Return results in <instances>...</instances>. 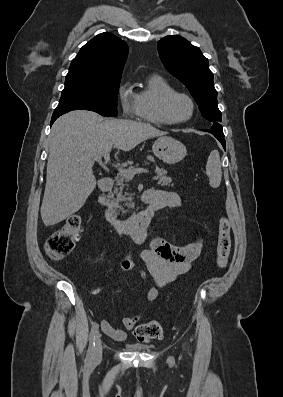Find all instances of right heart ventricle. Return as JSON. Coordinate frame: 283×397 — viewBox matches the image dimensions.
Returning a JSON list of instances; mask_svg holds the SVG:
<instances>
[{"instance_id":"right-heart-ventricle-1","label":"right heart ventricle","mask_w":283,"mask_h":397,"mask_svg":"<svg viewBox=\"0 0 283 397\" xmlns=\"http://www.w3.org/2000/svg\"><path fill=\"white\" fill-rule=\"evenodd\" d=\"M173 91L174 87L163 77L149 76L136 93L140 119L150 124H165L160 117L159 107L163 97Z\"/></svg>"}]
</instances>
